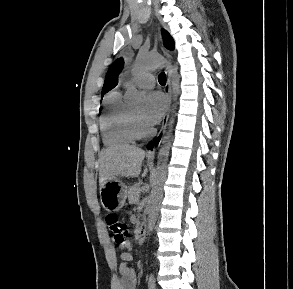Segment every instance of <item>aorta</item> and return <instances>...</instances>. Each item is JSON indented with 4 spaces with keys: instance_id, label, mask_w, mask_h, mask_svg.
Masks as SVG:
<instances>
[{
    "instance_id": "762f6f07",
    "label": "aorta",
    "mask_w": 293,
    "mask_h": 289,
    "mask_svg": "<svg viewBox=\"0 0 293 289\" xmlns=\"http://www.w3.org/2000/svg\"><path fill=\"white\" fill-rule=\"evenodd\" d=\"M160 67H166V69L168 70V75L171 79L172 84L173 97L174 100H177L179 94L180 76L178 74L177 68L167 64L162 57L140 54L134 65V72L140 73ZM128 100L133 105H141L145 100V94L135 88H131L128 92ZM173 123L174 119L171 118L169 122V130L164 137L158 154L156 173L152 184L151 194L149 196L147 223L148 233L152 232L155 227L158 217L159 205L163 196V184L167 176V161L171 146Z\"/></svg>"
}]
</instances>
